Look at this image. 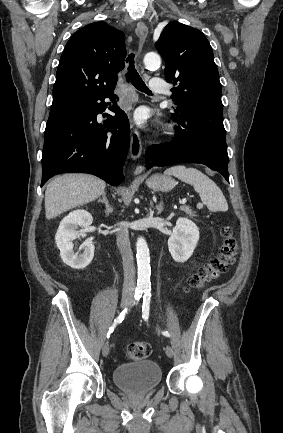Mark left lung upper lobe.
Listing matches in <instances>:
<instances>
[{"label": "left lung upper lobe", "mask_w": 283, "mask_h": 433, "mask_svg": "<svg viewBox=\"0 0 283 433\" xmlns=\"http://www.w3.org/2000/svg\"><path fill=\"white\" fill-rule=\"evenodd\" d=\"M155 46L164 58L179 124H213L224 129L221 84L212 48L198 29L170 22Z\"/></svg>", "instance_id": "5c2ea615"}]
</instances>
